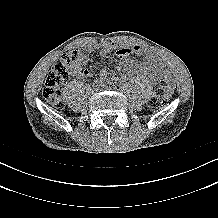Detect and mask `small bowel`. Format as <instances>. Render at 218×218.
<instances>
[{
    "label": "small bowel",
    "instance_id": "small-bowel-1",
    "mask_svg": "<svg viewBox=\"0 0 218 218\" xmlns=\"http://www.w3.org/2000/svg\"><path fill=\"white\" fill-rule=\"evenodd\" d=\"M114 49H116V45L111 42L103 43L102 45H89L83 49L77 50V54L75 60L72 64L71 73L75 76L89 78L93 75L91 69L85 68V65L89 61V54L98 51L99 55L102 57L108 56ZM132 55H141L144 57L143 62H137L132 59ZM112 63H123L125 66L124 71H118L115 75V80L117 82H123L126 79V75H131L135 72L148 75L153 80H158L162 77L164 70V64L159 59V57L139 46L133 47H122L117 49L116 54L111 57ZM110 69L108 67H104L101 72V77H106L110 74ZM173 84L169 80L168 85V96L171 95L173 91Z\"/></svg>",
    "mask_w": 218,
    "mask_h": 218
}]
</instances>
